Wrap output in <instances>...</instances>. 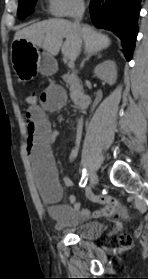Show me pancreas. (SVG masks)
<instances>
[{
  "instance_id": "obj_1",
  "label": "pancreas",
  "mask_w": 148,
  "mask_h": 279,
  "mask_svg": "<svg viewBox=\"0 0 148 279\" xmlns=\"http://www.w3.org/2000/svg\"><path fill=\"white\" fill-rule=\"evenodd\" d=\"M62 79L70 86V97L74 102L78 101V98L82 95V86L77 78V75L65 74L62 76Z\"/></svg>"
}]
</instances>
